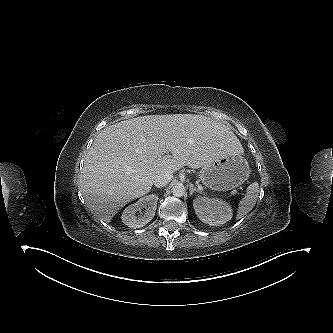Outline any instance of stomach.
Instances as JSON below:
<instances>
[{"label": "stomach", "mask_w": 333, "mask_h": 333, "mask_svg": "<svg viewBox=\"0 0 333 333\" xmlns=\"http://www.w3.org/2000/svg\"><path fill=\"white\" fill-rule=\"evenodd\" d=\"M250 175L248 162L241 155H231L205 165L199 174L208 188L226 191L243 184Z\"/></svg>", "instance_id": "stomach-1"}]
</instances>
